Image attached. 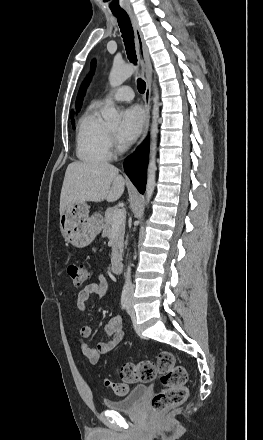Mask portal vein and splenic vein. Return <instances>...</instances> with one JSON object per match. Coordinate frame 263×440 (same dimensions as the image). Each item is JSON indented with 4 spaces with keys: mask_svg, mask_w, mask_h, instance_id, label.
Instances as JSON below:
<instances>
[{
    "mask_svg": "<svg viewBox=\"0 0 263 440\" xmlns=\"http://www.w3.org/2000/svg\"><path fill=\"white\" fill-rule=\"evenodd\" d=\"M125 218V211L119 209L114 214V227L119 224Z\"/></svg>",
    "mask_w": 263,
    "mask_h": 440,
    "instance_id": "1",
    "label": "portal vein and splenic vein"
}]
</instances>
